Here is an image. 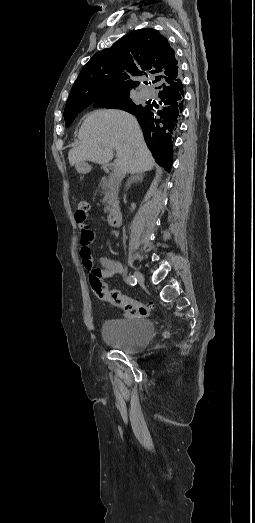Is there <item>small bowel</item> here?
I'll use <instances>...</instances> for the list:
<instances>
[{"label": "small bowel", "instance_id": "obj_1", "mask_svg": "<svg viewBox=\"0 0 255 523\" xmlns=\"http://www.w3.org/2000/svg\"><path fill=\"white\" fill-rule=\"evenodd\" d=\"M81 228V247L79 249V256L82 260L83 266L91 273H96L100 278L111 279L116 274L122 273L124 268L121 262L107 256L100 258V268L94 269L90 254L89 245L94 241L95 233L88 225L80 224Z\"/></svg>", "mask_w": 255, "mask_h": 523}]
</instances>
